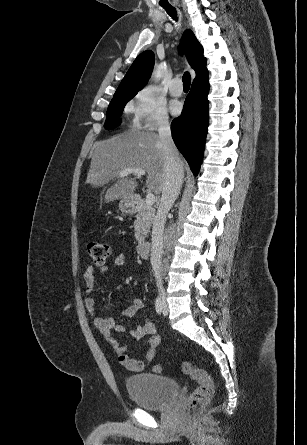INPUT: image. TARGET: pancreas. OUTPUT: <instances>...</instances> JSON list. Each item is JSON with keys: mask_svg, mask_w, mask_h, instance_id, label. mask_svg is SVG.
Wrapping results in <instances>:
<instances>
[{"mask_svg": "<svg viewBox=\"0 0 307 445\" xmlns=\"http://www.w3.org/2000/svg\"><path fill=\"white\" fill-rule=\"evenodd\" d=\"M155 218V208L148 206L146 202H141L137 208L136 220H134V235L136 241L144 243L145 237L153 225V220Z\"/></svg>", "mask_w": 307, "mask_h": 445, "instance_id": "pancreas-1", "label": "pancreas"}]
</instances>
